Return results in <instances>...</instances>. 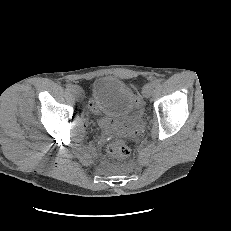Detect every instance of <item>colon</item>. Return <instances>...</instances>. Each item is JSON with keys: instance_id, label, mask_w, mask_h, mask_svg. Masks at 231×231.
Returning a JSON list of instances; mask_svg holds the SVG:
<instances>
[{"instance_id": "1", "label": "colon", "mask_w": 231, "mask_h": 231, "mask_svg": "<svg viewBox=\"0 0 231 231\" xmlns=\"http://www.w3.org/2000/svg\"><path fill=\"white\" fill-rule=\"evenodd\" d=\"M107 152L116 157H126L130 153L129 146L122 140H114L107 147Z\"/></svg>"}]
</instances>
